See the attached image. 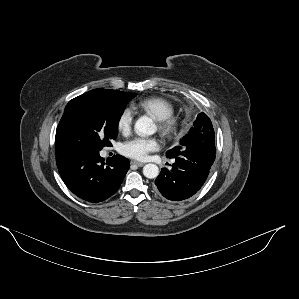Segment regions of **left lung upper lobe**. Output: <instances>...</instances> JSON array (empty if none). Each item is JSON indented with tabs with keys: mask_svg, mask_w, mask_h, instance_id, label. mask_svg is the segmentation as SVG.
<instances>
[{
	"mask_svg": "<svg viewBox=\"0 0 299 299\" xmlns=\"http://www.w3.org/2000/svg\"><path fill=\"white\" fill-rule=\"evenodd\" d=\"M201 155L210 164L215 160V134L210 118L203 112L198 114L193 127L185 135L180 144L166 153L167 157L176 155L193 156Z\"/></svg>",
	"mask_w": 299,
	"mask_h": 299,
	"instance_id": "left-lung-upper-lobe-1",
	"label": "left lung upper lobe"
}]
</instances>
